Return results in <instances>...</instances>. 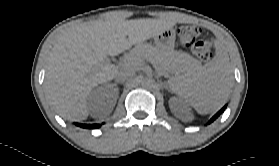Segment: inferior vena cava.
Listing matches in <instances>:
<instances>
[{"instance_id": "1", "label": "inferior vena cava", "mask_w": 279, "mask_h": 166, "mask_svg": "<svg viewBox=\"0 0 279 166\" xmlns=\"http://www.w3.org/2000/svg\"><path fill=\"white\" fill-rule=\"evenodd\" d=\"M135 74L134 70L129 68V67H122L120 68L116 74H115V79L117 82H124L127 79L133 77Z\"/></svg>"}]
</instances>
